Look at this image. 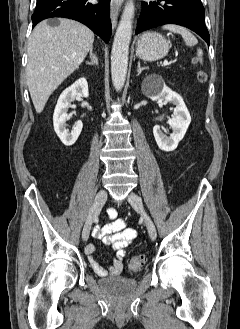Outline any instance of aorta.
<instances>
[{"mask_svg":"<svg viewBox=\"0 0 240 329\" xmlns=\"http://www.w3.org/2000/svg\"><path fill=\"white\" fill-rule=\"evenodd\" d=\"M134 11L133 0L127 1L114 37L111 52V76L116 91H121L126 80Z\"/></svg>","mask_w":240,"mask_h":329,"instance_id":"aorta-1","label":"aorta"}]
</instances>
